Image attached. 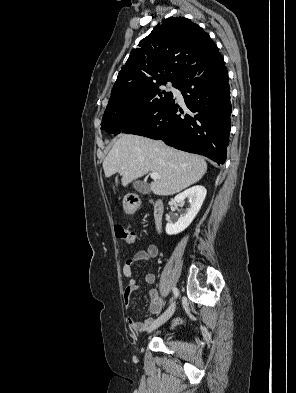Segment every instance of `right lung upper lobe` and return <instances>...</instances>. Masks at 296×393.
Segmentation results:
<instances>
[{"instance_id":"obj_1","label":"right lung upper lobe","mask_w":296,"mask_h":393,"mask_svg":"<svg viewBox=\"0 0 296 393\" xmlns=\"http://www.w3.org/2000/svg\"><path fill=\"white\" fill-rule=\"evenodd\" d=\"M215 43L200 26L184 17H169L131 51L113 86L109 102L136 96L171 81L197 63Z\"/></svg>"}]
</instances>
